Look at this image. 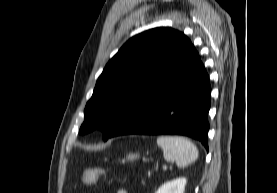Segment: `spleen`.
<instances>
[{"instance_id":"1","label":"spleen","mask_w":277,"mask_h":193,"mask_svg":"<svg viewBox=\"0 0 277 193\" xmlns=\"http://www.w3.org/2000/svg\"><path fill=\"white\" fill-rule=\"evenodd\" d=\"M157 144L163 150L166 161H175L182 168L198 158L196 146L187 138L180 136H159Z\"/></svg>"}]
</instances>
